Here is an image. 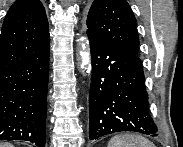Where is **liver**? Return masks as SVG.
I'll return each mask as SVG.
<instances>
[{
  "label": "liver",
  "mask_w": 183,
  "mask_h": 147,
  "mask_svg": "<svg viewBox=\"0 0 183 147\" xmlns=\"http://www.w3.org/2000/svg\"><path fill=\"white\" fill-rule=\"evenodd\" d=\"M0 147H13V145L8 144V143H4V144H0Z\"/></svg>",
  "instance_id": "liver-1"
}]
</instances>
